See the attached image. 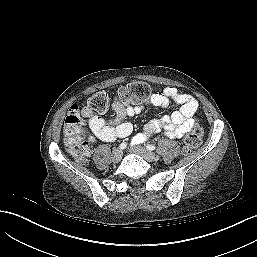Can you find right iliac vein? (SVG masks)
Wrapping results in <instances>:
<instances>
[{
    "mask_svg": "<svg viewBox=\"0 0 257 257\" xmlns=\"http://www.w3.org/2000/svg\"><path fill=\"white\" fill-rule=\"evenodd\" d=\"M122 158V151L120 149H114L112 152V161L113 162H119Z\"/></svg>",
    "mask_w": 257,
    "mask_h": 257,
    "instance_id": "obj_1",
    "label": "right iliac vein"
}]
</instances>
